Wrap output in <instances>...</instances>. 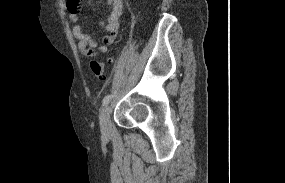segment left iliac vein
<instances>
[{
    "label": "left iliac vein",
    "mask_w": 285,
    "mask_h": 183,
    "mask_svg": "<svg viewBox=\"0 0 285 183\" xmlns=\"http://www.w3.org/2000/svg\"><path fill=\"white\" fill-rule=\"evenodd\" d=\"M110 112V107L106 106L103 108L100 115V128L104 137H109L111 135Z\"/></svg>",
    "instance_id": "1"
}]
</instances>
